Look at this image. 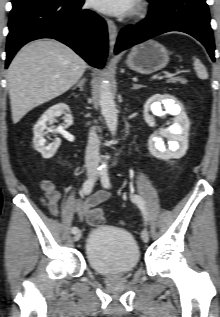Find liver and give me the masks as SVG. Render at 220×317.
<instances>
[{"label": "liver", "instance_id": "1", "mask_svg": "<svg viewBox=\"0 0 220 317\" xmlns=\"http://www.w3.org/2000/svg\"><path fill=\"white\" fill-rule=\"evenodd\" d=\"M85 61L63 43L43 39L25 45L9 65L7 78L13 123L75 85Z\"/></svg>", "mask_w": 220, "mask_h": 317}]
</instances>
